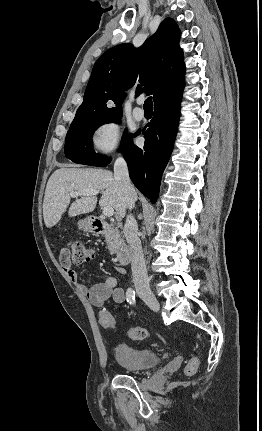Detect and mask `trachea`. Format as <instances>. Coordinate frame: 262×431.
<instances>
[{
	"instance_id": "obj_1",
	"label": "trachea",
	"mask_w": 262,
	"mask_h": 431,
	"mask_svg": "<svg viewBox=\"0 0 262 431\" xmlns=\"http://www.w3.org/2000/svg\"><path fill=\"white\" fill-rule=\"evenodd\" d=\"M144 110H153L152 97H148L144 102Z\"/></svg>"
}]
</instances>
